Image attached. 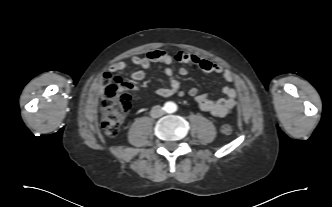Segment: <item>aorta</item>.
Returning a JSON list of instances; mask_svg holds the SVG:
<instances>
[{"mask_svg": "<svg viewBox=\"0 0 332 207\" xmlns=\"http://www.w3.org/2000/svg\"><path fill=\"white\" fill-rule=\"evenodd\" d=\"M167 105V112H174L176 110V105L173 102H169Z\"/></svg>", "mask_w": 332, "mask_h": 207, "instance_id": "1", "label": "aorta"}]
</instances>
